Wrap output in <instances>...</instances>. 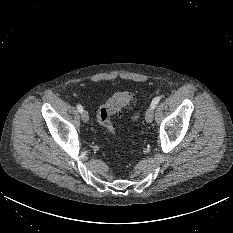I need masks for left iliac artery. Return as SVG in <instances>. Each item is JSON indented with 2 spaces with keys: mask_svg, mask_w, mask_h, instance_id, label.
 <instances>
[{
  "mask_svg": "<svg viewBox=\"0 0 233 233\" xmlns=\"http://www.w3.org/2000/svg\"><path fill=\"white\" fill-rule=\"evenodd\" d=\"M160 99H161L160 97H155V98L152 100L151 106H152L153 108H155L156 105L159 103Z\"/></svg>",
  "mask_w": 233,
  "mask_h": 233,
  "instance_id": "1",
  "label": "left iliac artery"
}]
</instances>
